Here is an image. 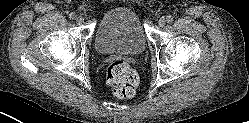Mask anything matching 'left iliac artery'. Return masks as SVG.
Instances as JSON below:
<instances>
[{
  "label": "left iliac artery",
  "mask_w": 249,
  "mask_h": 123,
  "mask_svg": "<svg viewBox=\"0 0 249 123\" xmlns=\"http://www.w3.org/2000/svg\"><path fill=\"white\" fill-rule=\"evenodd\" d=\"M173 20H174L173 16H171V15H168V16H167V22H168V23H172Z\"/></svg>",
  "instance_id": "left-iliac-artery-1"
}]
</instances>
